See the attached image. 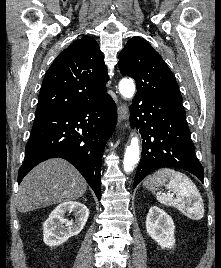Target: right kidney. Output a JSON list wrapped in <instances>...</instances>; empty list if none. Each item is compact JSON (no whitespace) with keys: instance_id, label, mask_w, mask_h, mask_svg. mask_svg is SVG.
Wrapping results in <instances>:
<instances>
[{"instance_id":"ca27d5eb","label":"right kidney","mask_w":221,"mask_h":268,"mask_svg":"<svg viewBox=\"0 0 221 268\" xmlns=\"http://www.w3.org/2000/svg\"><path fill=\"white\" fill-rule=\"evenodd\" d=\"M74 212L75 221L65 218L66 213ZM89 217V209L82 203L68 201L58 205L43 224V240L48 246H58L70 237L78 235Z\"/></svg>"}]
</instances>
